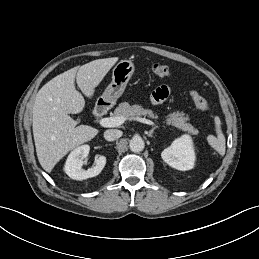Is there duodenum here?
Listing matches in <instances>:
<instances>
[{
    "mask_svg": "<svg viewBox=\"0 0 259 259\" xmlns=\"http://www.w3.org/2000/svg\"><path fill=\"white\" fill-rule=\"evenodd\" d=\"M106 107L103 105H98L95 109H94V116L95 118H100L104 115V113L106 112Z\"/></svg>",
    "mask_w": 259,
    "mask_h": 259,
    "instance_id": "obj_1",
    "label": "duodenum"
}]
</instances>
